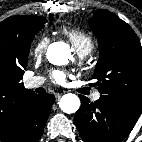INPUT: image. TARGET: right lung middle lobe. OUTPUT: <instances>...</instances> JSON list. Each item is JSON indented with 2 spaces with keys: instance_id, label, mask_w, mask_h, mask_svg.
I'll return each mask as SVG.
<instances>
[{
  "instance_id": "obj_1",
  "label": "right lung middle lobe",
  "mask_w": 142,
  "mask_h": 142,
  "mask_svg": "<svg viewBox=\"0 0 142 142\" xmlns=\"http://www.w3.org/2000/svg\"><path fill=\"white\" fill-rule=\"evenodd\" d=\"M46 22L47 21L45 18L40 20L39 22H37V24L32 28V30L28 34V36L25 40V43H24L25 51L27 54H29L30 44H31L32 40L34 39V36L37 34V32H39L44 27V24Z\"/></svg>"
}]
</instances>
